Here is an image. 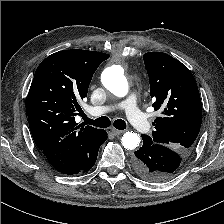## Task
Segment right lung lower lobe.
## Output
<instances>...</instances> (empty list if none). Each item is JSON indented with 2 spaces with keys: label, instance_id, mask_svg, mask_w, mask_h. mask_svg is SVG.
Returning a JSON list of instances; mask_svg holds the SVG:
<instances>
[{
  "label": "right lung lower lobe",
  "instance_id": "1",
  "mask_svg": "<svg viewBox=\"0 0 224 224\" xmlns=\"http://www.w3.org/2000/svg\"><path fill=\"white\" fill-rule=\"evenodd\" d=\"M107 139V132L105 130H103V134L102 137L100 138V141L96 144V146L92 149V151L90 152V154L86 157V159L83 161V163L81 164L80 167H78L77 169L71 171L70 173H68V175H72V174H78V173H82V172H86L89 171L95 164L96 159H97V155H98V150L101 146V144Z\"/></svg>",
  "mask_w": 224,
  "mask_h": 224
}]
</instances>
